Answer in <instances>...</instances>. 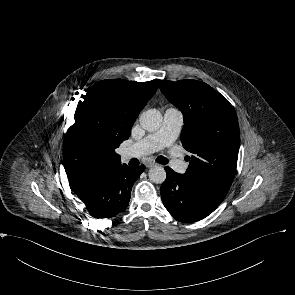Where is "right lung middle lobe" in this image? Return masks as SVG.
I'll return each instance as SVG.
<instances>
[{
    "instance_id": "right-lung-middle-lobe-1",
    "label": "right lung middle lobe",
    "mask_w": 295,
    "mask_h": 295,
    "mask_svg": "<svg viewBox=\"0 0 295 295\" xmlns=\"http://www.w3.org/2000/svg\"><path fill=\"white\" fill-rule=\"evenodd\" d=\"M75 112L76 128L89 137H119L130 130L136 115L124 99L118 80H103L83 95ZM127 136V137H128Z\"/></svg>"
}]
</instances>
